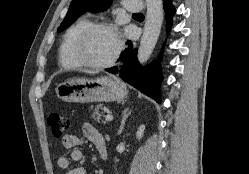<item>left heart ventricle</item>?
I'll return each mask as SVG.
<instances>
[{
  "mask_svg": "<svg viewBox=\"0 0 249 174\" xmlns=\"http://www.w3.org/2000/svg\"><path fill=\"white\" fill-rule=\"evenodd\" d=\"M117 47L115 35L108 30L92 32L83 46V56L91 63L108 61Z\"/></svg>",
  "mask_w": 249,
  "mask_h": 174,
  "instance_id": "left-heart-ventricle-1",
  "label": "left heart ventricle"
}]
</instances>
